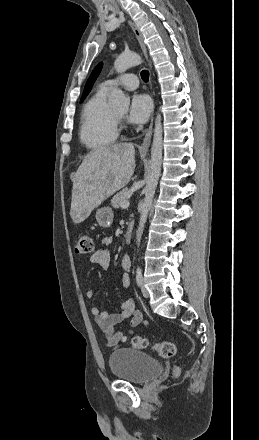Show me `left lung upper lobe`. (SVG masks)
Listing matches in <instances>:
<instances>
[{"instance_id":"5c2ea615","label":"left lung upper lobe","mask_w":259,"mask_h":440,"mask_svg":"<svg viewBox=\"0 0 259 440\" xmlns=\"http://www.w3.org/2000/svg\"><path fill=\"white\" fill-rule=\"evenodd\" d=\"M102 66H103L102 63H99L92 71V73H91V75L85 85L84 92H83V95L81 97L80 102H82L86 98L88 93L90 92L92 85L94 84L96 78L99 76V74L101 72Z\"/></svg>"}]
</instances>
